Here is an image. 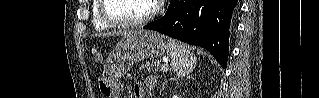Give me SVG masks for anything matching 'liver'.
<instances>
[{"instance_id":"obj_1","label":"liver","mask_w":319,"mask_h":98,"mask_svg":"<svg viewBox=\"0 0 319 98\" xmlns=\"http://www.w3.org/2000/svg\"><path fill=\"white\" fill-rule=\"evenodd\" d=\"M132 31H119V32H113V33H106V34H101L99 36H103V37H108V36H114V35H127V34H131Z\"/></svg>"}]
</instances>
